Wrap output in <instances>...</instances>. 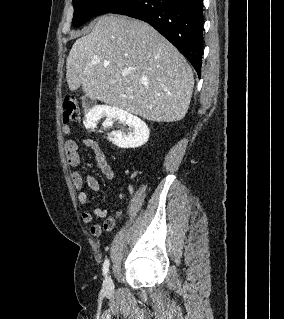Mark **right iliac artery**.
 Masks as SVG:
<instances>
[{
    "label": "right iliac artery",
    "mask_w": 284,
    "mask_h": 319,
    "mask_svg": "<svg viewBox=\"0 0 284 319\" xmlns=\"http://www.w3.org/2000/svg\"><path fill=\"white\" fill-rule=\"evenodd\" d=\"M109 265H110L109 260L106 259V260L104 261V264H103V274H104V275H106V274L108 273V271H109Z\"/></svg>",
    "instance_id": "82829eb1"
}]
</instances>
